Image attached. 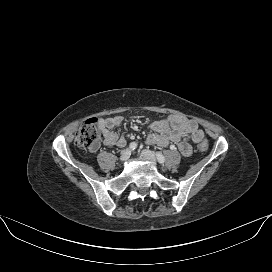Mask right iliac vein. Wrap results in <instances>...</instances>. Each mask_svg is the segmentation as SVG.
Listing matches in <instances>:
<instances>
[{"label": "right iliac vein", "mask_w": 272, "mask_h": 272, "mask_svg": "<svg viewBox=\"0 0 272 272\" xmlns=\"http://www.w3.org/2000/svg\"><path fill=\"white\" fill-rule=\"evenodd\" d=\"M130 156H131V151L129 149L123 150L120 155V161L121 162L127 161Z\"/></svg>", "instance_id": "right-iliac-vein-1"}]
</instances>
